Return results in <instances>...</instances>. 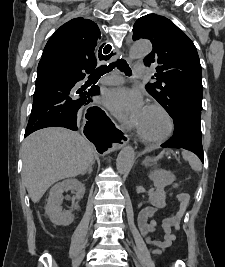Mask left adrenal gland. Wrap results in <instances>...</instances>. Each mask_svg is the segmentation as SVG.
I'll return each instance as SVG.
<instances>
[{
	"label": "left adrenal gland",
	"mask_w": 225,
	"mask_h": 267,
	"mask_svg": "<svg viewBox=\"0 0 225 267\" xmlns=\"http://www.w3.org/2000/svg\"><path fill=\"white\" fill-rule=\"evenodd\" d=\"M143 165L146 166V167L149 166L148 161L147 160H144Z\"/></svg>",
	"instance_id": "1"
}]
</instances>
